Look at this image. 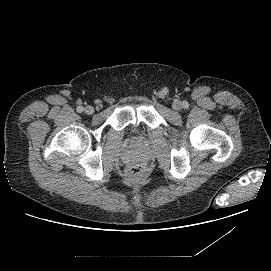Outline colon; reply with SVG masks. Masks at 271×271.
Listing matches in <instances>:
<instances>
[{
    "label": "colon",
    "instance_id": "colon-1",
    "mask_svg": "<svg viewBox=\"0 0 271 271\" xmlns=\"http://www.w3.org/2000/svg\"><path fill=\"white\" fill-rule=\"evenodd\" d=\"M144 167L140 164H131L127 168V177L131 181H138L140 180L144 175Z\"/></svg>",
    "mask_w": 271,
    "mask_h": 271
}]
</instances>
